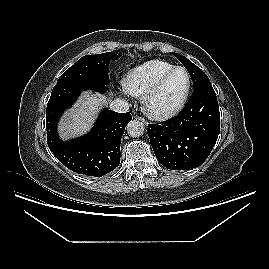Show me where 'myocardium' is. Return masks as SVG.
<instances>
[{
    "label": "myocardium",
    "instance_id": "obj_1",
    "mask_svg": "<svg viewBox=\"0 0 269 269\" xmlns=\"http://www.w3.org/2000/svg\"><path fill=\"white\" fill-rule=\"evenodd\" d=\"M177 71H184L187 77L186 89L180 100L172 107L165 110H156L152 107V102L160 92L166 81ZM192 87V79L189 71L182 66H176L164 73L144 94L142 105L144 112L152 119L167 120L178 114L186 105Z\"/></svg>",
    "mask_w": 269,
    "mask_h": 269
}]
</instances>
